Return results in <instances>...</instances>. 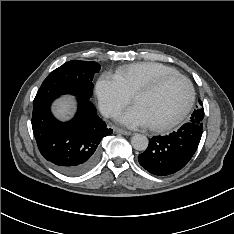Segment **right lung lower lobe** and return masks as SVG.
<instances>
[{
  "instance_id": "obj_1",
  "label": "right lung lower lobe",
  "mask_w": 234,
  "mask_h": 234,
  "mask_svg": "<svg viewBox=\"0 0 234 234\" xmlns=\"http://www.w3.org/2000/svg\"><path fill=\"white\" fill-rule=\"evenodd\" d=\"M54 99L33 107L32 129L39 151L60 172L81 175L95 165L101 139L113 130L99 118L92 102L81 98L74 118L60 122L50 110Z\"/></svg>"
}]
</instances>
